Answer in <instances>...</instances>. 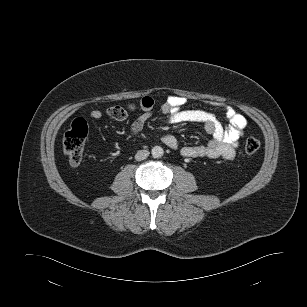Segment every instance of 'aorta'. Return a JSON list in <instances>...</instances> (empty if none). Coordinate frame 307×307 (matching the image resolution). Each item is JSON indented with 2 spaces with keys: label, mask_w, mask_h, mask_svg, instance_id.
<instances>
[{
  "label": "aorta",
  "mask_w": 307,
  "mask_h": 307,
  "mask_svg": "<svg viewBox=\"0 0 307 307\" xmlns=\"http://www.w3.org/2000/svg\"><path fill=\"white\" fill-rule=\"evenodd\" d=\"M151 154L154 158H160L164 154L163 148L160 146H154L151 150Z\"/></svg>",
  "instance_id": "obj_1"
}]
</instances>
